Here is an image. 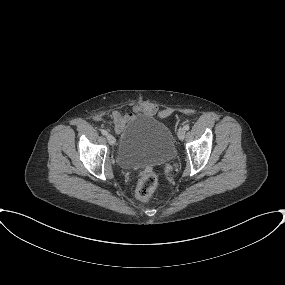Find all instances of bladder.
I'll list each match as a JSON object with an SVG mask.
<instances>
[{
    "mask_svg": "<svg viewBox=\"0 0 285 285\" xmlns=\"http://www.w3.org/2000/svg\"><path fill=\"white\" fill-rule=\"evenodd\" d=\"M176 146L170 128L150 114H135L125 125L118 147V162L126 169H141L172 161Z\"/></svg>",
    "mask_w": 285,
    "mask_h": 285,
    "instance_id": "31cf9c89",
    "label": "bladder"
}]
</instances>
